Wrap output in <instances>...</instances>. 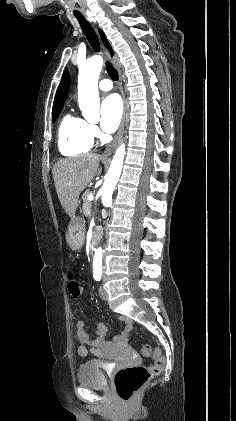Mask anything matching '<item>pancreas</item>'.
I'll list each match as a JSON object with an SVG mask.
<instances>
[{"label": "pancreas", "instance_id": "pancreas-1", "mask_svg": "<svg viewBox=\"0 0 236 421\" xmlns=\"http://www.w3.org/2000/svg\"><path fill=\"white\" fill-rule=\"evenodd\" d=\"M89 194H94V190H85L84 196H83V215L85 217H90L91 215V206L92 202L91 200H88ZM101 221V219H99Z\"/></svg>", "mask_w": 236, "mask_h": 421}]
</instances>
